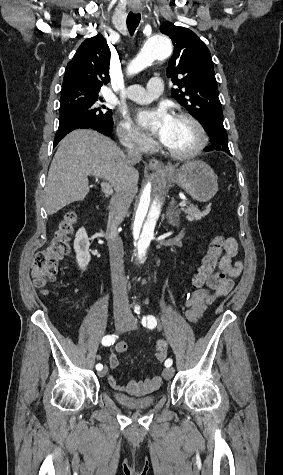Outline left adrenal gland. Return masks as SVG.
Wrapping results in <instances>:
<instances>
[{
  "instance_id": "a2214340",
  "label": "left adrenal gland",
  "mask_w": 283,
  "mask_h": 475,
  "mask_svg": "<svg viewBox=\"0 0 283 475\" xmlns=\"http://www.w3.org/2000/svg\"><path fill=\"white\" fill-rule=\"evenodd\" d=\"M174 206H175V202L173 200V202H170V204H169V208L166 212V218H167L170 226H175V228H178V226H179V216H180L181 210H176V208H174Z\"/></svg>"
}]
</instances>
